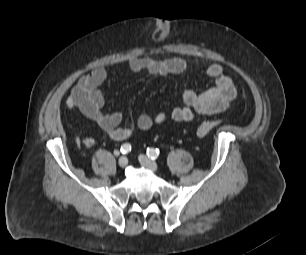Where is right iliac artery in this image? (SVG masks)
<instances>
[{
    "label": "right iliac artery",
    "mask_w": 306,
    "mask_h": 255,
    "mask_svg": "<svg viewBox=\"0 0 306 255\" xmlns=\"http://www.w3.org/2000/svg\"><path fill=\"white\" fill-rule=\"evenodd\" d=\"M132 147L129 143H125L121 146L120 151L122 154H127L131 151Z\"/></svg>",
    "instance_id": "1"
}]
</instances>
